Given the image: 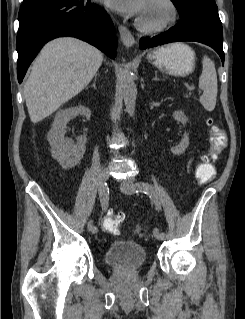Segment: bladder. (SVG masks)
Listing matches in <instances>:
<instances>
[{
	"instance_id": "1",
	"label": "bladder",
	"mask_w": 245,
	"mask_h": 319,
	"mask_svg": "<svg viewBox=\"0 0 245 319\" xmlns=\"http://www.w3.org/2000/svg\"><path fill=\"white\" fill-rule=\"evenodd\" d=\"M105 261L111 266L139 267L146 261V252L144 247L137 242L117 240L108 246Z\"/></svg>"
}]
</instances>
